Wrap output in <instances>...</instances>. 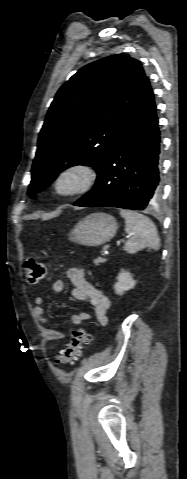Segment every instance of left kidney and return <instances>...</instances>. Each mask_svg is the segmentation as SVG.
Here are the masks:
<instances>
[{"label":"left kidney","instance_id":"obj_1","mask_svg":"<svg viewBox=\"0 0 187 479\" xmlns=\"http://www.w3.org/2000/svg\"><path fill=\"white\" fill-rule=\"evenodd\" d=\"M118 282L115 284L114 289L118 295H123L125 291L134 288L136 282L133 280L132 275L125 270H122L118 277Z\"/></svg>","mask_w":187,"mask_h":479}]
</instances>
